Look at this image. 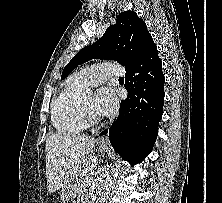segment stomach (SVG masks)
Listing matches in <instances>:
<instances>
[{"mask_svg":"<svg viewBox=\"0 0 222 203\" xmlns=\"http://www.w3.org/2000/svg\"><path fill=\"white\" fill-rule=\"evenodd\" d=\"M101 150H105V148H101ZM76 188H77L76 183H72L69 186H67L66 188H63L62 193H61L62 198L65 200L72 199L75 196L74 193L76 191Z\"/></svg>","mask_w":222,"mask_h":203,"instance_id":"0dacf381","label":"stomach"}]
</instances>
